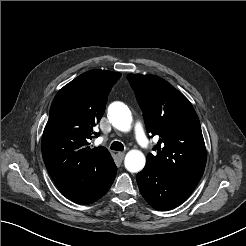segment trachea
Instances as JSON below:
<instances>
[{
	"label": "trachea",
	"instance_id": "1",
	"mask_svg": "<svg viewBox=\"0 0 246 246\" xmlns=\"http://www.w3.org/2000/svg\"><path fill=\"white\" fill-rule=\"evenodd\" d=\"M112 150H116V151H123L124 150V146L121 142H118V141H114L112 144H111V147H110Z\"/></svg>",
	"mask_w": 246,
	"mask_h": 246
}]
</instances>
